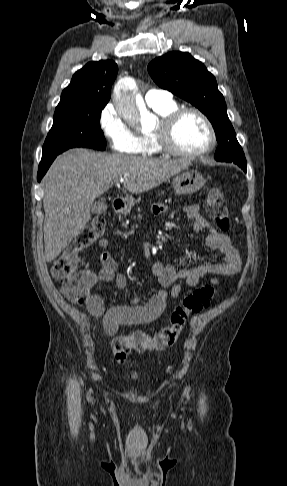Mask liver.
I'll list each match as a JSON object with an SVG mask.
<instances>
[{
    "label": "liver",
    "instance_id": "1",
    "mask_svg": "<svg viewBox=\"0 0 287 486\" xmlns=\"http://www.w3.org/2000/svg\"><path fill=\"white\" fill-rule=\"evenodd\" d=\"M185 160H158L71 149L59 155L43 178L45 259L54 260L91 219L94 200L124 179L143 193L187 168Z\"/></svg>",
    "mask_w": 287,
    "mask_h": 486
}]
</instances>
